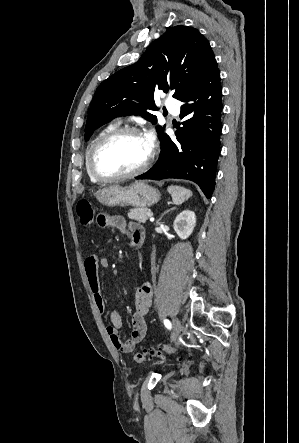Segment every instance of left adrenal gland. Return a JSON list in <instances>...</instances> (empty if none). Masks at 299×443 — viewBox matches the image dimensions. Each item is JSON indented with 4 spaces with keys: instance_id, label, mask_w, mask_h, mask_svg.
<instances>
[{
    "instance_id": "a2214340",
    "label": "left adrenal gland",
    "mask_w": 299,
    "mask_h": 443,
    "mask_svg": "<svg viewBox=\"0 0 299 443\" xmlns=\"http://www.w3.org/2000/svg\"><path fill=\"white\" fill-rule=\"evenodd\" d=\"M174 209L175 208H170V209L166 210L164 213H162L160 218L157 220V222H159L165 214H167L168 212H170L171 210H174Z\"/></svg>"
}]
</instances>
